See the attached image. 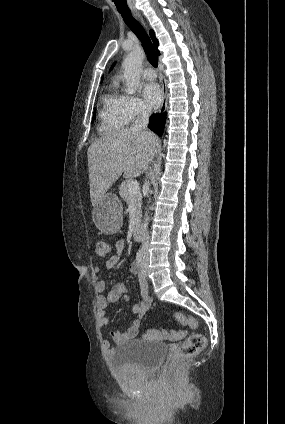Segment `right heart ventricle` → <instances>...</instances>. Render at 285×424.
Masks as SVG:
<instances>
[{
  "mask_svg": "<svg viewBox=\"0 0 285 424\" xmlns=\"http://www.w3.org/2000/svg\"><path fill=\"white\" fill-rule=\"evenodd\" d=\"M99 130L111 133L128 123L125 111V96L120 93L116 82H112L101 99Z\"/></svg>",
  "mask_w": 285,
  "mask_h": 424,
  "instance_id": "1",
  "label": "right heart ventricle"
}]
</instances>
